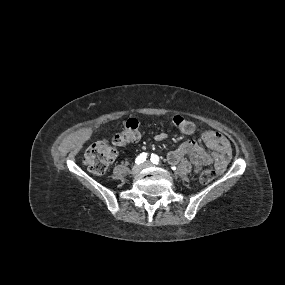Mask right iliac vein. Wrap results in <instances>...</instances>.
Segmentation results:
<instances>
[{
    "label": "right iliac vein",
    "mask_w": 285,
    "mask_h": 285,
    "mask_svg": "<svg viewBox=\"0 0 285 285\" xmlns=\"http://www.w3.org/2000/svg\"><path fill=\"white\" fill-rule=\"evenodd\" d=\"M141 165H139V164H136V165H134L133 167H132V169H131V174L133 175V176H136V175H138L139 174V172H140V170H141Z\"/></svg>",
    "instance_id": "63e3f726"
}]
</instances>
